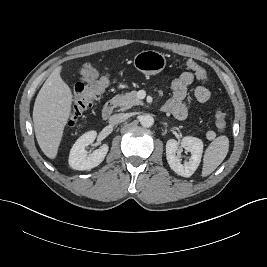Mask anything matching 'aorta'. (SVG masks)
Masks as SVG:
<instances>
[{
    "label": "aorta",
    "mask_w": 267,
    "mask_h": 267,
    "mask_svg": "<svg viewBox=\"0 0 267 267\" xmlns=\"http://www.w3.org/2000/svg\"><path fill=\"white\" fill-rule=\"evenodd\" d=\"M140 123L143 127L149 128L154 124V118L149 114L143 115L140 118Z\"/></svg>",
    "instance_id": "762f6f07"
}]
</instances>
